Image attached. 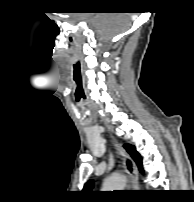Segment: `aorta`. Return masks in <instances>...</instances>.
Masks as SVG:
<instances>
[{
    "label": "aorta",
    "mask_w": 194,
    "mask_h": 202,
    "mask_svg": "<svg viewBox=\"0 0 194 202\" xmlns=\"http://www.w3.org/2000/svg\"><path fill=\"white\" fill-rule=\"evenodd\" d=\"M126 178L122 175H112L104 180L106 190H122L126 186Z\"/></svg>",
    "instance_id": "1"
}]
</instances>
